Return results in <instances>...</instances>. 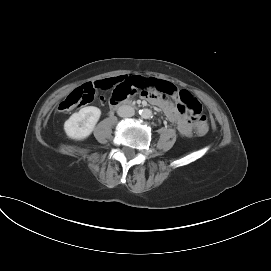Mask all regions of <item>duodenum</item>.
<instances>
[{
	"mask_svg": "<svg viewBox=\"0 0 271 271\" xmlns=\"http://www.w3.org/2000/svg\"><path fill=\"white\" fill-rule=\"evenodd\" d=\"M122 105H131L129 102H112L110 103V106L112 108H116V107H119V106H122Z\"/></svg>",
	"mask_w": 271,
	"mask_h": 271,
	"instance_id": "1",
	"label": "duodenum"
}]
</instances>
